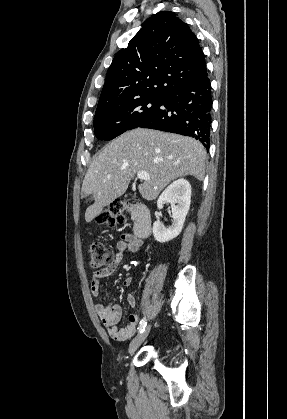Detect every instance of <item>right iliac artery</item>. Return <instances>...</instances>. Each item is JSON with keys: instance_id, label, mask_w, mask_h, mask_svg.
Segmentation results:
<instances>
[{"instance_id": "obj_1", "label": "right iliac artery", "mask_w": 287, "mask_h": 419, "mask_svg": "<svg viewBox=\"0 0 287 419\" xmlns=\"http://www.w3.org/2000/svg\"><path fill=\"white\" fill-rule=\"evenodd\" d=\"M146 325H147L146 320L145 319H142L140 321V325H139V328H138V330H139L140 333H142L145 330Z\"/></svg>"}]
</instances>
